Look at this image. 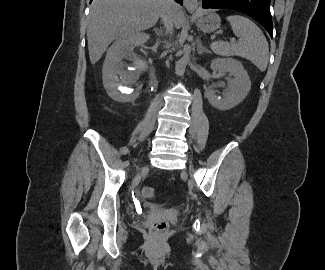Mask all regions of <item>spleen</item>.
Segmentation results:
<instances>
[{
  "instance_id": "1",
  "label": "spleen",
  "mask_w": 325,
  "mask_h": 270,
  "mask_svg": "<svg viewBox=\"0 0 325 270\" xmlns=\"http://www.w3.org/2000/svg\"><path fill=\"white\" fill-rule=\"evenodd\" d=\"M239 43L217 41L211 43L212 51L221 56H240L251 61L260 71H265L269 60V46L262 30L250 19L241 15L227 17Z\"/></svg>"
}]
</instances>
